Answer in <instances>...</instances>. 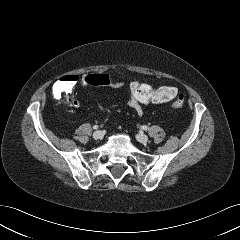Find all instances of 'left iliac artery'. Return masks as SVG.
<instances>
[{
  "label": "left iliac artery",
  "instance_id": "44dca946",
  "mask_svg": "<svg viewBox=\"0 0 240 240\" xmlns=\"http://www.w3.org/2000/svg\"><path fill=\"white\" fill-rule=\"evenodd\" d=\"M143 130H148V127L146 125L142 126Z\"/></svg>",
  "mask_w": 240,
  "mask_h": 240
}]
</instances>
